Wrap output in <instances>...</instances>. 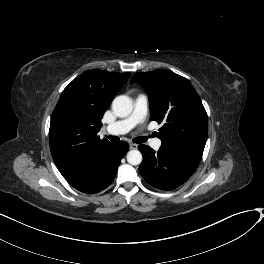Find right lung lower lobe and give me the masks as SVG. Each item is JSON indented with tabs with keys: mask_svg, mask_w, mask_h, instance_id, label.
<instances>
[{
	"mask_svg": "<svg viewBox=\"0 0 264 264\" xmlns=\"http://www.w3.org/2000/svg\"><path fill=\"white\" fill-rule=\"evenodd\" d=\"M125 141L111 143L82 172L66 178L75 189L84 193H97L107 188L114 180L121 159L128 151Z\"/></svg>",
	"mask_w": 264,
	"mask_h": 264,
	"instance_id": "right-lung-lower-lobe-1",
	"label": "right lung lower lobe"
}]
</instances>
